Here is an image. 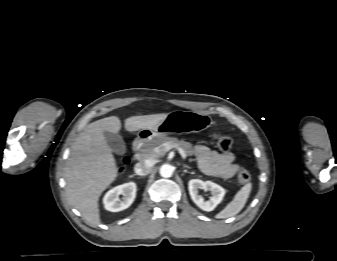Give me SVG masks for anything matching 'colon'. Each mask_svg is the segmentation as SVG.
Listing matches in <instances>:
<instances>
[{"mask_svg":"<svg viewBox=\"0 0 337 261\" xmlns=\"http://www.w3.org/2000/svg\"><path fill=\"white\" fill-rule=\"evenodd\" d=\"M213 140L216 146L222 151H228L232 146V139L227 135L214 134ZM128 162H129L128 158H124L122 167L120 168L121 171L128 164ZM250 180H251V175L248 171L246 170L239 171L237 175V181L240 185L242 186L246 185L250 182Z\"/></svg>","mask_w":337,"mask_h":261,"instance_id":"5ec220e1","label":"colon"}]
</instances>
